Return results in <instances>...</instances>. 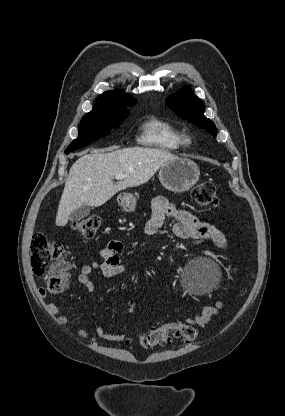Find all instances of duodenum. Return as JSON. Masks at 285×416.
<instances>
[{
  "label": "duodenum",
  "mask_w": 285,
  "mask_h": 416,
  "mask_svg": "<svg viewBox=\"0 0 285 416\" xmlns=\"http://www.w3.org/2000/svg\"><path fill=\"white\" fill-rule=\"evenodd\" d=\"M121 199H122L123 201H126V200L128 199V196H127L126 194H123V195L121 196Z\"/></svg>",
  "instance_id": "1"
}]
</instances>
